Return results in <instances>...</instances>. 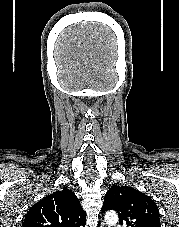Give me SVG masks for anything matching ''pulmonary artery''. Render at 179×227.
<instances>
[{"label": "pulmonary artery", "mask_w": 179, "mask_h": 227, "mask_svg": "<svg viewBox=\"0 0 179 227\" xmlns=\"http://www.w3.org/2000/svg\"><path fill=\"white\" fill-rule=\"evenodd\" d=\"M115 227H121V226H119V225H116Z\"/></svg>", "instance_id": "pulmonary-artery-1"}]
</instances>
